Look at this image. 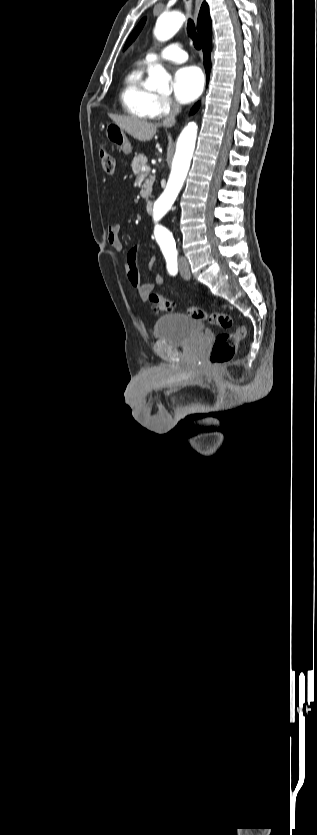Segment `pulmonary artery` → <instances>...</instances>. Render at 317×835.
<instances>
[{"label": "pulmonary artery", "instance_id": "pulmonary-artery-1", "mask_svg": "<svg viewBox=\"0 0 317 835\" xmlns=\"http://www.w3.org/2000/svg\"><path fill=\"white\" fill-rule=\"evenodd\" d=\"M188 58L187 53L181 48L179 44H171L163 48L157 53H149L146 55L144 62L153 63L158 60H170L178 63L185 62Z\"/></svg>", "mask_w": 317, "mask_h": 835}]
</instances>
